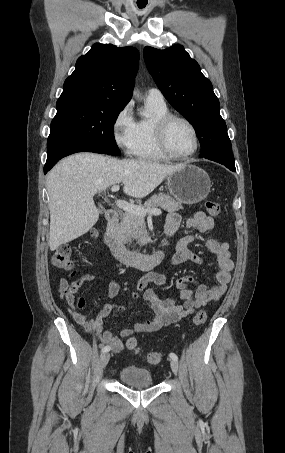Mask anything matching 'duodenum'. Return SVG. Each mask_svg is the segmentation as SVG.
I'll return each mask as SVG.
<instances>
[{
    "label": "duodenum",
    "mask_w": 285,
    "mask_h": 453,
    "mask_svg": "<svg viewBox=\"0 0 285 453\" xmlns=\"http://www.w3.org/2000/svg\"><path fill=\"white\" fill-rule=\"evenodd\" d=\"M119 215L114 209H109L105 213L106 226L103 233V241L110 249L114 257L125 264H132L141 269H151L159 265L165 258L164 248L152 254H142L127 249L120 241L117 232Z\"/></svg>",
    "instance_id": "obj_1"
}]
</instances>
